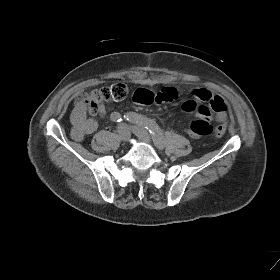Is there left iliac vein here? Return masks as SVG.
I'll return each instance as SVG.
<instances>
[{"instance_id": "left-iliac-vein-1", "label": "left iliac vein", "mask_w": 280, "mask_h": 280, "mask_svg": "<svg viewBox=\"0 0 280 280\" xmlns=\"http://www.w3.org/2000/svg\"><path fill=\"white\" fill-rule=\"evenodd\" d=\"M130 129L132 132L143 142L150 143L151 142V136L150 134L142 127L140 126H131ZM159 148H163V144H158Z\"/></svg>"}]
</instances>
